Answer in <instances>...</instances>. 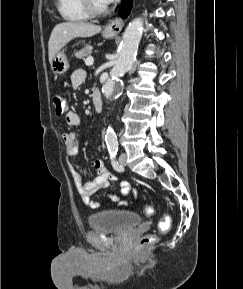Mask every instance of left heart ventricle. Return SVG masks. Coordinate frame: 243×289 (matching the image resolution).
<instances>
[{
  "mask_svg": "<svg viewBox=\"0 0 243 289\" xmlns=\"http://www.w3.org/2000/svg\"><path fill=\"white\" fill-rule=\"evenodd\" d=\"M93 3L96 7H104L105 5L101 2V0H93Z\"/></svg>",
  "mask_w": 243,
  "mask_h": 289,
  "instance_id": "1",
  "label": "left heart ventricle"
}]
</instances>
